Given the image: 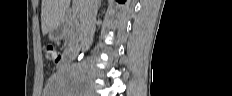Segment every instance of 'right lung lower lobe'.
<instances>
[{
	"label": "right lung lower lobe",
	"instance_id": "98d812e1",
	"mask_svg": "<svg viewBox=\"0 0 232 96\" xmlns=\"http://www.w3.org/2000/svg\"><path fill=\"white\" fill-rule=\"evenodd\" d=\"M118 1L123 3L125 0H118Z\"/></svg>",
	"mask_w": 232,
	"mask_h": 96
}]
</instances>
